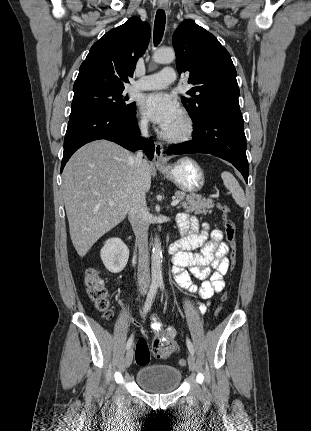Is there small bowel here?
Returning a JSON list of instances; mask_svg holds the SVG:
<instances>
[{"label": "small bowel", "instance_id": "small-bowel-1", "mask_svg": "<svg viewBox=\"0 0 311 431\" xmlns=\"http://www.w3.org/2000/svg\"><path fill=\"white\" fill-rule=\"evenodd\" d=\"M177 225L181 238L173 244L171 252L175 277L184 289L208 301L224 289L223 278L229 267L228 245L223 241L221 230H210L207 223L200 225L196 217L186 213L177 215ZM185 269L201 280L199 286L191 283ZM200 309L204 312L206 304H201ZM151 326L156 334H163L164 338L173 341V328L164 330L156 317L152 318Z\"/></svg>", "mask_w": 311, "mask_h": 431}]
</instances>
